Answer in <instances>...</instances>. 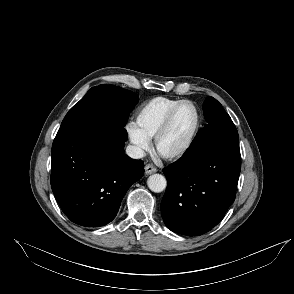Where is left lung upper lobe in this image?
<instances>
[{
  "mask_svg": "<svg viewBox=\"0 0 294 294\" xmlns=\"http://www.w3.org/2000/svg\"><path fill=\"white\" fill-rule=\"evenodd\" d=\"M204 117L207 122L205 127L217 125H234L230 116L222 105L213 97L206 98L203 104Z\"/></svg>",
  "mask_w": 294,
  "mask_h": 294,
  "instance_id": "left-lung-upper-lobe-1",
  "label": "left lung upper lobe"
}]
</instances>
